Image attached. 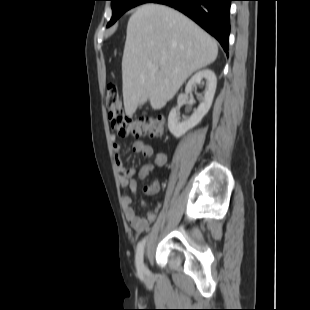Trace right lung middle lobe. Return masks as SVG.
I'll return each mask as SVG.
<instances>
[{
  "instance_id": "1",
  "label": "right lung middle lobe",
  "mask_w": 310,
  "mask_h": 310,
  "mask_svg": "<svg viewBox=\"0 0 310 310\" xmlns=\"http://www.w3.org/2000/svg\"><path fill=\"white\" fill-rule=\"evenodd\" d=\"M112 7V18L107 24V27L111 26L116 22L119 17L127 10L140 5L142 3L149 2L150 0H110Z\"/></svg>"
}]
</instances>
